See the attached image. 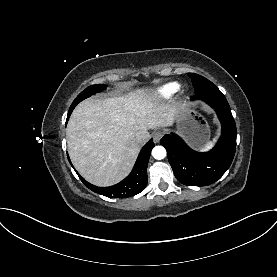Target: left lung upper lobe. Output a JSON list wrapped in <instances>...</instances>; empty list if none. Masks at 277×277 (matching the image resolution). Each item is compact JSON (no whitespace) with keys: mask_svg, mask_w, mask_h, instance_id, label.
<instances>
[{"mask_svg":"<svg viewBox=\"0 0 277 277\" xmlns=\"http://www.w3.org/2000/svg\"><path fill=\"white\" fill-rule=\"evenodd\" d=\"M188 76L192 79L195 94L209 90H219L211 81L203 76L195 73H188Z\"/></svg>","mask_w":277,"mask_h":277,"instance_id":"5c2ea615","label":"left lung upper lobe"}]
</instances>
